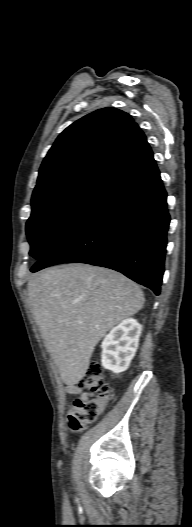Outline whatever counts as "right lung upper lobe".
<instances>
[{
  "instance_id": "right-lung-upper-lobe-1",
  "label": "right lung upper lobe",
  "mask_w": 192,
  "mask_h": 527,
  "mask_svg": "<svg viewBox=\"0 0 192 527\" xmlns=\"http://www.w3.org/2000/svg\"><path fill=\"white\" fill-rule=\"evenodd\" d=\"M146 136L128 113L96 110L67 127L43 160L33 196L83 178L110 180L146 147Z\"/></svg>"
}]
</instances>
